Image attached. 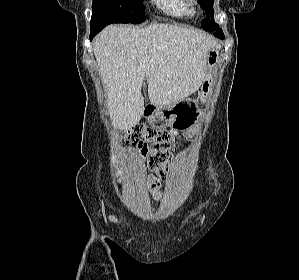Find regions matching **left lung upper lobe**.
Here are the masks:
<instances>
[{
    "label": "left lung upper lobe",
    "mask_w": 299,
    "mask_h": 280,
    "mask_svg": "<svg viewBox=\"0 0 299 280\" xmlns=\"http://www.w3.org/2000/svg\"><path fill=\"white\" fill-rule=\"evenodd\" d=\"M213 2H214L213 0H199V3L201 5V7L205 10L206 15L208 17H212V19L206 18V19H204L201 22V26L205 30H208V31H214L219 26L218 24H216L214 22V18H213V13H214V11H213ZM214 35H222V36H224L222 29H220L217 32H215Z\"/></svg>",
    "instance_id": "left-lung-upper-lobe-1"
}]
</instances>
